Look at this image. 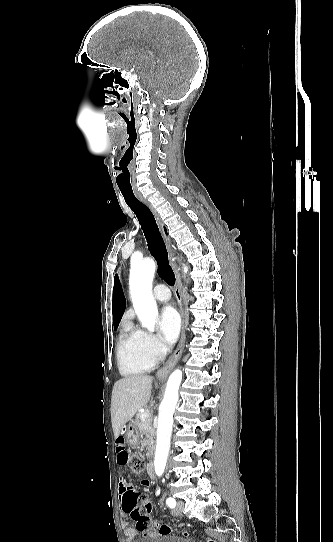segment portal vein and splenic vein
<instances>
[{"mask_svg": "<svg viewBox=\"0 0 333 542\" xmlns=\"http://www.w3.org/2000/svg\"><path fill=\"white\" fill-rule=\"evenodd\" d=\"M150 414L149 412H145V414H142L141 418L142 420H145V418H149Z\"/></svg>", "mask_w": 333, "mask_h": 542, "instance_id": "1", "label": "portal vein and splenic vein"}]
</instances>
